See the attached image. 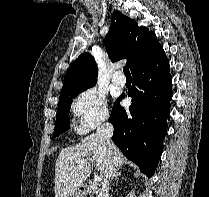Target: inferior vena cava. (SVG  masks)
<instances>
[{
  "instance_id": "602c4592",
  "label": "inferior vena cava",
  "mask_w": 209,
  "mask_h": 197,
  "mask_svg": "<svg viewBox=\"0 0 209 197\" xmlns=\"http://www.w3.org/2000/svg\"><path fill=\"white\" fill-rule=\"evenodd\" d=\"M97 135L101 137L108 149V160L103 173V183L99 197L109 196V182L115 171V160L113 157L114 144L111 141L113 135V126L109 122H104L97 128Z\"/></svg>"
}]
</instances>
